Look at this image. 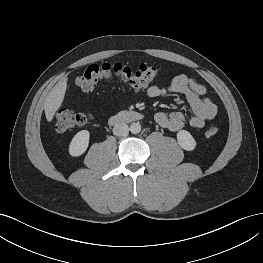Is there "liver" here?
I'll return each instance as SVG.
<instances>
[{"label": "liver", "mask_w": 263, "mask_h": 263, "mask_svg": "<svg viewBox=\"0 0 263 263\" xmlns=\"http://www.w3.org/2000/svg\"><path fill=\"white\" fill-rule=\"evenodd\" d=\"M67 89V78L59 81L50 91L44 102L45 116L48 122L53 120L56 111L61 107Z\"/></svg>", "instance_id": "liver-1"}]
</instances>
